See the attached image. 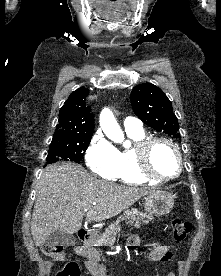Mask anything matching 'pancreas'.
Returning <instances> with one entry per match:
<instances>
[{"instance_id": "1", "label": "pancreas", "mask_w": 221, "mask_h": 276, "mask_svg": "<svg viewBox=\"0 0 221 276\" xmlns=\"http://www.w3.org/2000/svg\"><path fill=\"white\" fill-rule=\"evenodd\" d=\"M153 216L148 215L147 213H142L138 211L137 209H131L125 211L123 216H120L118 220L109 225L104 233L99 237L97 243L99 246H110L112 247L114 245L116 234L120 230V222L124 220H128L126 223H130L135 228L141 227V225H144L149 222V220H152Z\"/></svg>"}]
</instances>
